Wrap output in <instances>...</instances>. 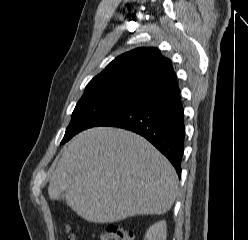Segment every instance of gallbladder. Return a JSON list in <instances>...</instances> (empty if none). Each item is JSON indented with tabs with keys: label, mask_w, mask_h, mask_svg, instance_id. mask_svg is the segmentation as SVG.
Listing matches in <instances>:
<instances>
[{
	"label": "gallbladder",
	"mask_w": 248,
	"mask_h": 240,
	"mask_svg": "<svg viewBox=\"0 0 248 240\" xmlns=\"http://www.w3.org/2000/svg\"><path fill=\"white\" fill-rule=\"evenodd\" d=\"M60 198H61L62 201H65V200H66V199H65V193H64V192H62V193L60 194Z\"/></svg>",
	"instance_id": "gallbladder-1"
}]
</instances>
